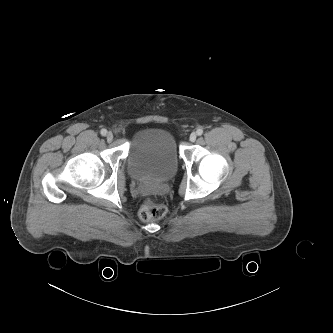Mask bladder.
<instances>
[{"label": "bladder", "instance_id": "31cf9c89", "mask_svg": "<svg viewBox=\"0 0 333 333\" xmlns=\"http://www.w3.org/2000/svg\"><path fill=\"white\" fill-rule=\"evenodd\" d=\"M126 161L128 171L135 179H169L179 164L173 133L161 126L141 129L130 141Z\"/></svg>", "mask_w": 333, "mask_h": 333}]
</instances>
